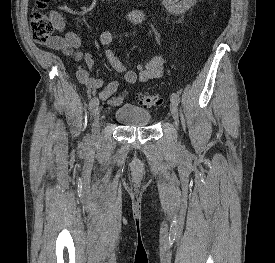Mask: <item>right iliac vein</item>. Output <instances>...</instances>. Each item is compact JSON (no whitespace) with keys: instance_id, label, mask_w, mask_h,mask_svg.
Segmentation results:
<instances>
[{"instance_id":"obj_1","label":"right iliac vein","mask_w":275,"mask_h":263,"mask_svg":"<svg viewBox=\"0 0 275 263\" xmlns=\"http://www.w3.org/2000/svg\"><path fill=\"white\" fill-rule=\"evenodd\" d=\"M99 117H100V108H99V102L97 106L95 107L94 113L92 115V138L93 140H96L99 135Z\"/></svg>"}]
</instances>
